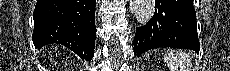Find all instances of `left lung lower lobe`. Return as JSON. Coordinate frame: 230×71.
<instances>
[{"label": "left lung lower lobe", "mask_w": 230, "mask_h": 71, "mask_svg": "<svg viewBox=\"0 0 230 71\" xmlns=\"http://www.w3.org/2000/svg\"><path fill=\"white\" fill-rule=\"evenodd\" d=\"M158 47L200 50L193 0H155L153 18L135 33L134 53Z\"/></svg>", "instance_id": "obj_1"}]
</instances>
